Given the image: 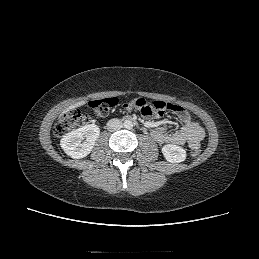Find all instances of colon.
Masks as SVG:
<instances>
[{
	"instance_id": "obj_1",
	"label": "colon",
	"mask_w": 259,
	"mask_h": 259,
	"mask_svg": "<svg viewBox=\"0 0 259 259\" xmlns=\"http://www.w3.org/2000/svg\"><path fill=\"white\" fill-rule=\"evenodd\" d=\"M117 104L118 99L110 97L91 101L88 103V106L95 116L105 117ZM124 107L127 110L137 109L146 117H160L165 111L174 109L175 105L161 101L151 103L143 98H137L125 104ZM90 121L91 118L88 115L81 113L79 110L68 111L58 121L55 127V133L57 136H64L73 129L89 124ZM191 155L192 157H198L200 155V150L198 148L193 149Z\"/></svg>"
}]
</instances>
